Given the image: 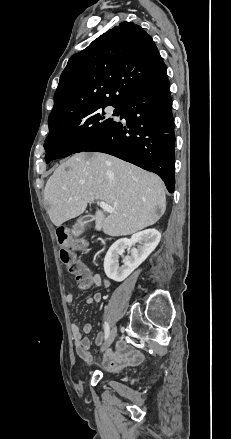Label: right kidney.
Masks as SVG:
<instances>
[{"instance_id":"ca27d5eb","label":"right kidney","mask_w":231,"mask_h":439,"mask_svg":"<svg viewBox=\"0 0 231 439\" xmlns=\"http://www.w3.org/2000/svg\"><path fill=\"white\" fill-rule=\"evenodd\" d=\"M160 239L161 234L158 230L147 229L133 234L130 239L117 240L109 248L104 259V271L107 277L117 282L126 279L155 250ZM136 243H139L137 248L131 249L124 257V250L130 249ZM119 256L123 257L122 266L118 263Z\"/></svg>"}]
</instances>
